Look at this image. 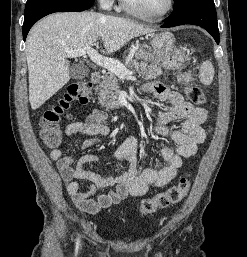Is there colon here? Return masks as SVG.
<instances>
[{"instance_id": "colon-1", "label": "colon", "mask_w": 247, "mask_h": 257, "mask_svg": "<svg viewBox=\"0 0 247 257\" xmlns=\"http://www.w3.org/2000/svg\"><path fill=\"white\" fill-rule=\"evenodd\" d=\"M185 93L188 100L193 104L202 105L206 101L204 92L197 86H187ZM90 97L91 84L85 81H77L67 87L64 96L56 105L44 112L39 126L40 137L46 148L55 150L60 146L62 139L60 117L68 110L70 104H86ZM190 185L189 177L184 176L176 185L153 197L143 199L140 205L141 215L147 216L155 213L158 209L179 203L187 195Z\"/></svg>"}]
</instances>
